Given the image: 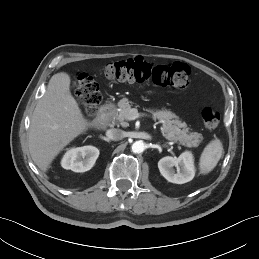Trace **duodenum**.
<instances>
[{
  "label": "duodenum",
  "instance_id": "1",
  "mask_svg": "<svg viewBox=\"0 0 259 259\" xmlns=\"http://www.w3.org/2000/svg\"><path fill=\"white\" fill-rule=\"evenodd\" d=\"M113 112V107L111 105H104L97 117L96 124L99 127H104L108 124Z\"/></svg>",
  "mask_w": 259,
  "mask_h": 259
}]
</instances>
